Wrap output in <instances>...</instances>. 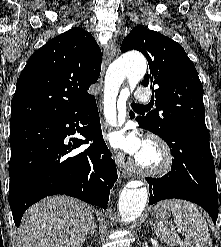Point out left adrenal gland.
Returning a JSON list of instances; mask_svg holds the SVG:
<instances>
[{
  "label": "left adrenal gland",
  "mask_w": 221,
  "mask_h": 247,
  "mask_svg": "<svg viewBox=\"0 0 221 247\" xmlns=\"http://www.w3.org/2000/svg\"><path fill=\"white\" fill-rule=\"evenodd\" d=\"M150 226H154L152 221H149Z\"/></svg>",
  "instance_id": "1"
}]
</instances>
